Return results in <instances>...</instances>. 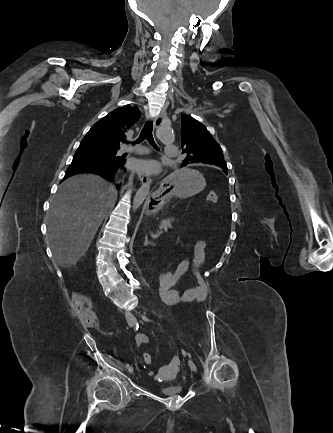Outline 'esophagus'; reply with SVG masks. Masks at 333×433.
Segmentation results:
<instances>
[{
	"mask_svg": "<svg viewBox=\"0 0 333 433\" xmlns=\"http://www.w3.org/2000/svg\"><path fill=\"white\" fill-rule=\"evenodd\" d=\"M165 117H166L165 111H162L160 114L156 116L154 120V131H157L162 126ZM138 177L142 184H148L150 182V177L147 173L139 172Z\"/></svg>",
	"mask_w": 333,
	"mask_h": 433,
	"instance_id": "1",
	"label": "esophagus"
}]
</instances>
